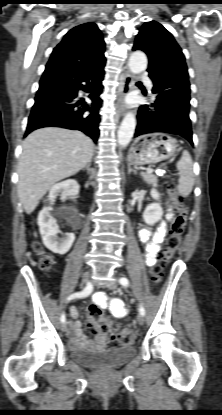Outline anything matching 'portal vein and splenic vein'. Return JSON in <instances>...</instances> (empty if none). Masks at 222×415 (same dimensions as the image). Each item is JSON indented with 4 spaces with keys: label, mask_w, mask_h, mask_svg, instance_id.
I'll use <instances>...</instances> for the list:
<instances>
[{
    "label": "portal vein and splenic vein",
    "mask_w": 222,
    "mask_h": 415,
    "mask_svg": "<svg viewBox=\"0 0 222 415\" xmlns=\"http://www.w3.org/2000/svg\"><path fill=\"white\" fill-rule=\"evenodd\" d=\"M153 171H154V170H153L152 168H147V169H146V172H147V173H152ZM159 175H160V176H164V173H163V172H160V173H159Z\"/></svg>",
    "instance_id": "obj_1"
}]
</instances>
